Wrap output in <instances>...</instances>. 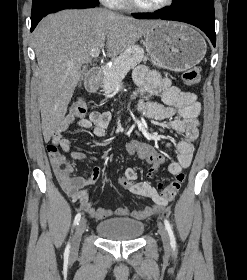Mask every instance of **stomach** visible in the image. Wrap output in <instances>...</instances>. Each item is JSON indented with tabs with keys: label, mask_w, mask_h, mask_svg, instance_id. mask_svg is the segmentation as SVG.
Returning <instances> with one entry per match:
<instances>
[{
	"label": "stomach",
	"mask_w": 247,
	"mask_h": 280,
	"mask_svg": "<svg viewBox=\"0 0 247 280\" xmlns=\"http://www.w3.org/2000/svg\"><path fill=\"white\" fill-rule=\"evenodd\" d=\"M145 47L155 66L175 72L194 67L207 51L199 32L177 22H160L152 27L146 33Z\"/></svg>",
	"instance_id": "stomach-1"
}]
</instances>
